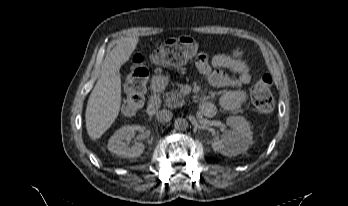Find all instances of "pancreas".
Instances as JSON below:
<instances>
[{
	"mask_svg": "<svg viewBox=\"0 0 348 206\" xmlns=\"http://www.w3.org/2000/svg\"><path fill=\"white\" fill-rule=\"evenodd\" d=\"M184 103L185 100L177 89H173L165 95L164 105L167 107L177 108L182 106Z\"/></svg>",
	"mask_w": 348,
	"mask_h": 206,
	"instance_id": "1",
	"label": "pancreas"
}]
</instances>
